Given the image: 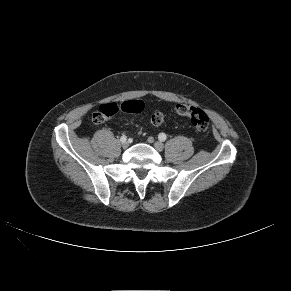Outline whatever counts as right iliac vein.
<instances>
[{
    "instance_id": "obj_1",
    "label": "right iliac vein",
    "mask_w": 291,
    "mask_h": 291,
    "mask_svg": "<svg viewBox=\"0 0 291 291\" xmlns=\"http://www.w3.org/2000/svg\"><path fill=\"white\" fill-rule=\"evenodd\" d=\"M128 146H129V142H127V141L122 142V147H123L124 149H126Z\"/></svg>"
}]
</instances>
